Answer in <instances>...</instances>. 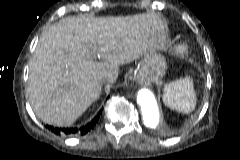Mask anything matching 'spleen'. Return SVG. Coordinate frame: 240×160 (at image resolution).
Returning a JSON list of instances; mask_svg holds the SVG:
<instances>
[{
  "label": "spleen",
  "mask_w": 240,
  "mask_h": 160,
  "mask_svg": "<svg viewBox=\"0 0 240 160\" xmlns=\"http://www.w3.org/2000/svg\"><path fill=\"white\" fill-rule=\"evenodd\" d=\"M164 103L182 113L191 112L196 105V94L190 77L178 79L166 85Z\"/></svg>",
  "instance_id": "3e777b00"
}]
</instances>
